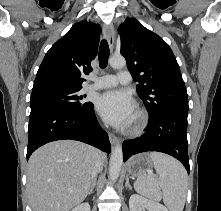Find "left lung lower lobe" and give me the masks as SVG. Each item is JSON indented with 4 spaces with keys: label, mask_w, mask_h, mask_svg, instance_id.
Wrapping results in <instances>:
<instances>
[{
    "label": "left lung lower lobe",
    "mask_w": 221,
    "mask_h": 211,
    "mask_svg": "<svg viewBox=\"0 0 221 211\" xmlns=\"http://www.w3.org/2000/svg\"><path fill=\"white\" fill-rule=\"evenodd\" d=\"M187 115L188 111L172 110L150 117L143 136L123 143L124 161L137 153L158 151L178 159L189 173Z\"/></svg>",
    "instance_id": "obj_1"
}]
</instances>
